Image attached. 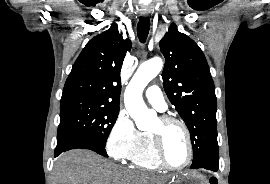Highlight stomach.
I'll return each mask as SVG.
<instances>
[{"label": "stomach", "mask_w": 270, "mask_h": 184, "mask_svg": "<svg viewBox=\"0 0 270 184\" xmlns=\"http://www.w3.org/2000/svg\"><path fill=\"white\" fill-rule=\"evenodd\" d=\"M169 184H209L206 178L197 172H185L176 175Z\"/></svg>", "instance_id": "0dacf381"}]
</instances>
